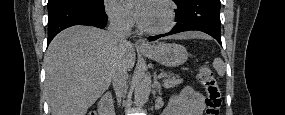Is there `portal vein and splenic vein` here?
Instances as JSON below:
<instances>
[{
  "label": "portal vein and splenic vein",
  "mask_w": 285,
  "mask_h": 115,
  "mask_svg": "<svg viewBox=\"0 0 285 115\" xmlns=\"http://www.w3.org/2000/svg\"><path fill=\"white\" fill-rule=\"evenodd\" d=\"M166 75H167L166 73H160L158 77L162 78V77H165Z\"/></svg>",
  "instance_id": "1"
}]
</instances>
